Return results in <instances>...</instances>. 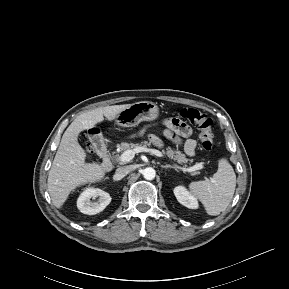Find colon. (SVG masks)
<instances>
[{
    "label": "colon",
    "mask_w": 289,
    "mask_h": 289,
    "mask_svg": "<svg viewBox=\"0 0 289 289\" xmlns=\"http://www.w3.org/2000/svg\"><path fill=\"white\" fill-rule=\"evenodd\" d=\"M180 116L184 120L190 122L197 127L202 148L206 151H210L214 145L212 119L208 117L205 113L194 108L182 109L180 111ZM86 152L88 155L92 153V147L90 145L86 147Z\"/></svg>",
    "instance_id": "obj_1"
}]
</instances>
